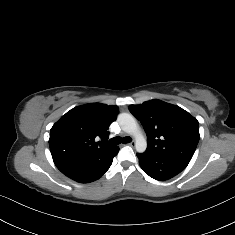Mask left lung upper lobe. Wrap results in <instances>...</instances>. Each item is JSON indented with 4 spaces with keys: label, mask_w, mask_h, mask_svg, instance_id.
Returning a JSON list of instances; mask_svg holds the SVG:
<instances>
[{
    "label": "left lung upper lobe",
    "mask_w": 235,
    "mask_h": 235,
    "mask_svg": "<svg viewBox=\"0 0 235 235\" xmlns=\"http://www.w3.org/2000/svg\"><path fill=\"white\" fill-rule=\"evenodd\" d=\"M147 134L148 152L190 162L199 142V123L184 109L161 100L130 105Z\"/></svg>",
    "instance_id": "5c2ea615"
}]
</instances>
